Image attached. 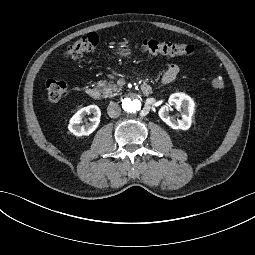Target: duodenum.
I'll return each instance as SVG.
<instances>
[{
	"instance_id": "410a0bca",
	"label": "duodenum",
	"mask_w": 255,
	"mask_h": 255,
	"mask_svg": "<svg viewBox=\"0 0 255 255\" xmlns=\"http://www.w3.org/2000/svg\"><path fill=\"white\" fill-rule=\"evenodd\" d=\"M140 88L144 95H149L151 93V87L147 83H142ZM85 92L91 99L97 100L100 97V92L95 87H87Z\"/></svg>"
}]
</instances>
